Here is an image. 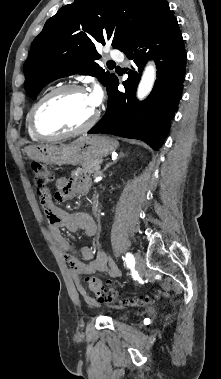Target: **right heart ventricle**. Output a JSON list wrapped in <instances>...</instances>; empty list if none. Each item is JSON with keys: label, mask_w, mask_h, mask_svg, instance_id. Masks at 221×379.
<instances>
[{"label": "right heart ventricle", "mask_w": 221, "mask_h": 379, "mask_svg": "<svg viewBox=\"0 0 221 379\" xmlns=\"http://www.w3.org/2000/svg\"><path fill=\"white\" fill-rule=\"evenodd\" d=\"M33 107H34V106H33ZM33 107L30 109V111H29V113H28V116H27V131H28L29 136H30L32 139H34V140H38V139H40V138L37 137V136L34 134L32 128H31V125H30V115H31V111H32Z\"/></svg>", "instance_id": "right-heart-ventricle-1"}]
</instances>
